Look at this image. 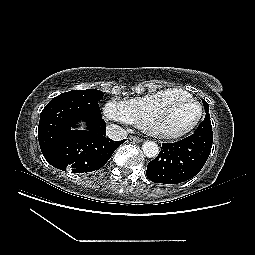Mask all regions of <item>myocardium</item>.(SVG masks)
Returning a JSON list of instances; mask_svg holds the SVG:
<instances>
[{"label": "myocardium", "instance_id": "obj_1", "mask_svg": "<svg viewBox=\"0 0 255 255\" xmlns=\"http://www.w3.org/2000/svg\"><path fill=\"white\" fill-rule=\"evenodd\" d=\"M186 100L188 102H191L197 107V115L194 118V120L185 128L178 130V131H165L162 129H159L156 125V121L159 119L162 112L173 102L176 100ZM203 114L202 105L200 102H198L190 93L186 91L179 92L178 95L171 97L170 99L166 100L163 104H161L156 110L151 112L149 116L146 118L143 129L144 131L154 137L163 138V139H175L182 137L189 132H191L199 123L201 117Z\"/></svg>", "mask_w": 255, "mask_h": 255}]
</instances>
